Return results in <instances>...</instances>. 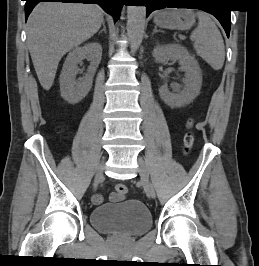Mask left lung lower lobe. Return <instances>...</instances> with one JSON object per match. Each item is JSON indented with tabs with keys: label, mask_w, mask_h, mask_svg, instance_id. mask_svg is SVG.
Wrapping results in <instances>:
<instances>
[{
	"label": "left lung lower lobe",
	"mask_w": 259,
	"mask_h": 266,
	"mask_svg": "<svg viewBox=\"0 0 259 266\" xmlns=\"http://www.w3.org/2000/svg\"><path fill=\"white\" fill-rule=\"evenodd\" d=\"M195 1V2H192ZM146 6V15L148 16L153 10L161 9L164 7H180L181 5H195V6H205L212 1L208 0H140ZM206 12L213 14L223 26L227 36L229 37L231 20H230V10L223 8H213V7H201Z\"/></svg>",
	"instance_id": "1"
}]
</instances>
